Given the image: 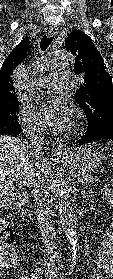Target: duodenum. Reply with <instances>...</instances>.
Masks as SVG:
<instances>
[{"mask_svg": "<svg viewBox=\"0 0 113 279\" xmlns=\"http://www.w3.org/2000/svg\"><path fill=\"white\" fill-rule=\"evenodd\" d=\"M21 216H22V218H23L24 220L27 219L28 213H27V210H26V209H23V210H22Z\"/></svg>", "mask_w": 113, "mask_h": 279, "instance_id": "duodenum-1", "label": "duodenum"}]
</instances>
